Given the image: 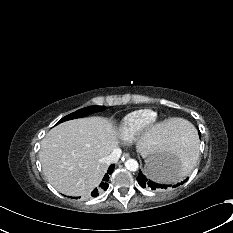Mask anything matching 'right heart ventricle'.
<instances>
[{"label": "right heart ventricle", "mask_w": 233, "mask_h": 233, "mask_svg": "<svg viewBox=\"0 0 233 233\" xmlns=\"http://www.w3.org/2000/svg\"><path fill=\"white\" fill-rule=\"evenodd\" d=\"M157 114L150 109H140L127 114L119 126V136L126 142H131L141 133L150 128L156 121Z\"/></svg>", "instance_id": "obj_1"}]
</instances>
